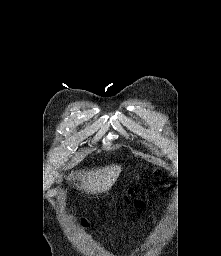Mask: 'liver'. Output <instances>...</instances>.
Segmentation results:
<instances>
[{
  "label": "liver",
  "mask_w": 221,
  "mask_h": 256,
  "mask_svg": "<svg viewBox=\"0 0 221 256\" xmlns=\"http://www.w3.org/2000/svg\"><path fill=\"white\" fill-rule=\"evenodd\" d=\"M121 172V165H110L89 171L80 170L71 173L68 180H72L78 190L87 194H101L110 190ZM79 181V183H78Z\"/></svg>",
  "instance_id": "1"
}]
</instances>
